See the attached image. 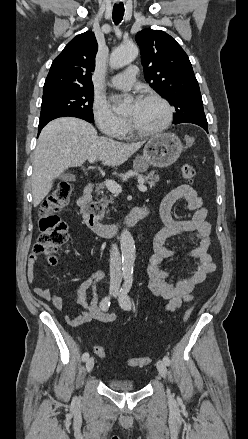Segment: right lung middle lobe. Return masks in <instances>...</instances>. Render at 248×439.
Segmentation results:
<instances>
[{
    "label": "right lung middle lobe",
    "mask_w": 248,
    "mask_h": 439,
    "mask_svg": "<svg viewBox=\"0 0 248 439\" xmlns=\"http://www.w3.org/2000/svg\"><path fill=\"white\" fill-rule=\"evenodd\" d=\"M93 93V88H80L43 95L40 122L66 115L83 116L93 122Z\"/></svg>",
    "instance_id": "dd1d6c3e"
}]
</instances>
